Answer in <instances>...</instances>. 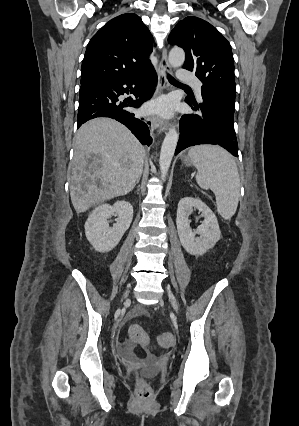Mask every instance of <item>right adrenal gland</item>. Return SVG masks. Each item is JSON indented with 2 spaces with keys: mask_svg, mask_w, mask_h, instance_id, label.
<instances>
[{
  "mask_svg": "<svg viewBox=\"0 0 299 426\" xmlns=\"http://www.w3.org/2000/svg\"><path fill=\"white\" fill-rule=\"evenodd\" d=\"M139 181H140V177L137 179L136 184H139ZM136 184H135V185H136Z\"/></svg>",
  "mask_w": 299,
  "mask_h": 426,
  "instance_id": "obj_1",
  "label": "right adrenal gland"
}]
</instances>
